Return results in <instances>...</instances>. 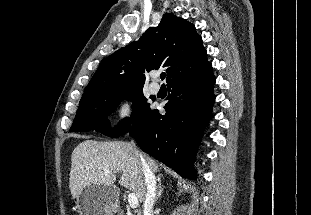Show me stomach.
I'll use <instances>...</instances> for the list:
<instances>
[{
    "label": "stomach",
    "mask_w": 311,
    "mask_h": 215,
    "mask_svg": "<svg viewBox=\"0 0 311 215\" xmlns=\"http://www.w3.org/2000/svg\"><path fill=\"white\" fill-rule=\"evenodd\" d=\"M80 215H114L118 210L117 191L112 186L90 184L76 201Z\"/></svg>",
    "instance_id": "0dacf381"
}]
</instances>
